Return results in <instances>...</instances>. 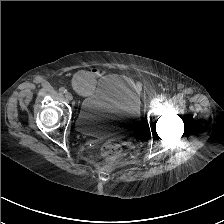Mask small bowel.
<instances>
[{
    "mask_svg": "<svg viewBox=\"0 0 224 224\" xmlns=\"http://www.w3.org/2000/svg\"><path fill=\"white\" fill-rule=\"evenodd\" d=\"M92 72L96 75V76H101L102 75V72L98 69V68H94L92 70Z\"/></svg>",
    "mask_w": 224,
    "mask_h": 224,
    "instance_id": "1",
    "label": "small bowel"
}]
</instances>
